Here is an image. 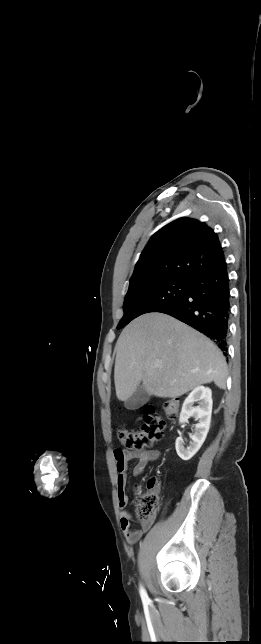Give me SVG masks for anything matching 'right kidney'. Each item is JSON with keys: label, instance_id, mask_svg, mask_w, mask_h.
Wrapping results in <instances>:
<instances>
[{"label": "right kidney", "instance_id": "1", "mask_svg": "<svg viewBox=\"0 0 261 644\" xmlns=\"http://www.w3.org/2000/svg\"><path fill=\"white\" fill-rule=\"evenodd\" d=\"M195 402H198L199 406L194 407ZM212 404V392L204 386L196 387L185 399L180 413V424H185L190 417L195 418L199 423L195 425L194 434L191 436L192 441L187 448L184 447L182 437L176 439V452L182 460L191 459L204 443L210 427Z\"/></svg>", "mask_w": 261, "mask_h": 644}]
</instances>
